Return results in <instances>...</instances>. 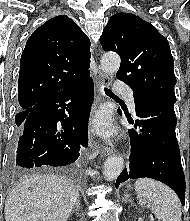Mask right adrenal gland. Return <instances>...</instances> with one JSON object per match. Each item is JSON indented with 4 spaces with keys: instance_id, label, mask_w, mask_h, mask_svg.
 I'll use <instances>...</instances> for the list:
<instances>
[{
    "instance_id": "right-adrenal-gland-1",
    "label": "right adrenal gland",
    "mask_w": 190,
    "mask_h": 221,
    "mask_svg": "<svg viewBox=\"0 0 190 221\" xmlns=\"http://www.w3.org/2000/svg\"><path fill=\"white\" fill-rule=\"evenodd\" d=\"M80 206H81L80 196H78L77 201L75 203V206H74V208L72 210V214L74 213V211L77 212L80 209Z\"/></svg>"
}]
</instances>
